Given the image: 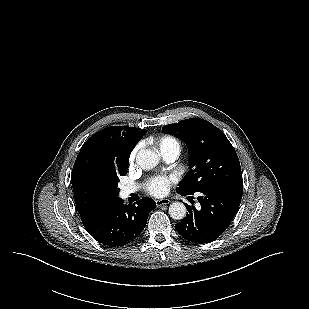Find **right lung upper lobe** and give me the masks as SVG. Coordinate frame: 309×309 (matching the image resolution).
I'll return each mask as SVG.
<instances>
[{
    "label": "right lung upper lobe",
    "mask_w": 309,
    "mask_h": 309,
    "mask_svg": "<svg viewBox=\"0 0 309 309\" xmlns=\"http://www.w3.org/2000/svg\"><path fill=\"white\" fill-rule=\"evenodd\" d=\"M146 132L135 127L112 126L98 131L85 142L71 175L75 204L81 218L115 199L108 190L107 168L128 162L132 149Z\"/></svg>",
    "instance_id": "right-lung-upper-lobe-1"
}]
</instances>
